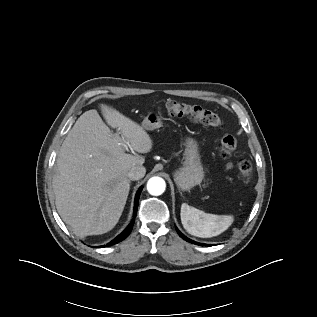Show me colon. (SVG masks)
<instances>
[{"instance_id": "5ec220e1", "label": "colon", "mask_w": 317, "mask_h": 317, "mask_svg": "<svg viewBox=\"0 0 317 317\" xmlns=\"http://www.w3.org/2000/svg\"><path fill=\"white\" fill-rule=\"evenodd\" d=\"M167 112L173 117L187 116L190 119L204 125L221 128L223 125L220 117L214 112L199 106L187 104L181 101H169L166 104ZM237 146V140L234 136L225 135L219 144L218 153L222 158H228ZM237 173L244 182H249L253 175V165L247 159H241L237 163Z\"/></svg>"}]
</instances>
